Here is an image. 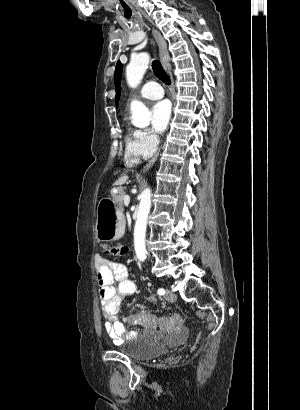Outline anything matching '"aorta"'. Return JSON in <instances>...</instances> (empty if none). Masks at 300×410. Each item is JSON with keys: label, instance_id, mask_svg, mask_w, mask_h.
Instances as JSON below:
<instances>
[{"label": "aorta", "instance_id": "obj_1", "mask_svg": "<svg viewBox=\"0 0 300 410\" xmlns=\"http://www.w3.org/2000/svg\"><path fill=\"white\" fill-rule=\"evenodd\" d=\"M149 54L140 53L133 56L126 68V79L130 87H137L148 67ZM132 124L138 128H145L150 124L151 113L140 101L131 102ZM151 208V189L146 188L140 194V203L134 227V248L139 261H145L147 251L145 246L147 219Z\"/></svg>", "mask_w": 300, "mask_h": 410}]
</instances>
